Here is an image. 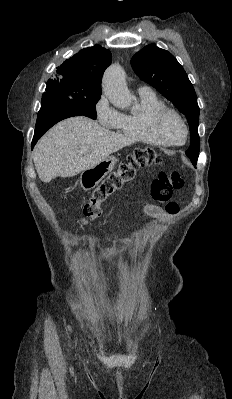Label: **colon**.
Instances as JSON below:
<instances>
[{"label":"colon","mask_w":232,"mask_h":399,"mask_svg":"<svg viewBox=\"0 0 232 399\" xmlns=\"http://www.w3.org/2000/svg\"><path fill=\"white\" fill-rule=\"evenodd\" d=\"M164 164L162 156L157 155L153 150H135L125 163H118L117 167L122 171L117 174H109L107 178L101 180V185H95L86 198L84 205V220H95L104 214V209L98 205L101 203L102 196H109L113 191H118L121 185H130V179L137 168L151 166L160 168ZM154 185L151 186V194H172L175 186L187 185V180H182V175H154ZM153 203H165V212H176L180 207L179 203H166V198H153Z\"/></svg>","instance_id":"obj_1"}]
</instances>
